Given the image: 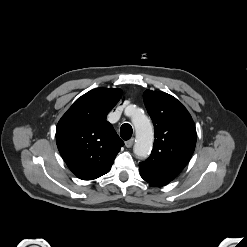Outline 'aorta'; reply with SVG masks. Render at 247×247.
Wrapping results in <instances>:
<instances>
[{"label":"aorta","mask_w":247,"mask_h":247,"mask_svg":"<svg viewBox=\"0 0 247 247\" xmlns=\"http://www.w3.org/2000/svg\"><path fill=\"white\" fill-rule=\"evenodd\" d=\"M131 120L136 132L134 153L139 158H146L151 152L154 140L153 126L149 118L138 108L131 107Z\"/></svg>","instance_id":"762f6f07"}]
</instances>
